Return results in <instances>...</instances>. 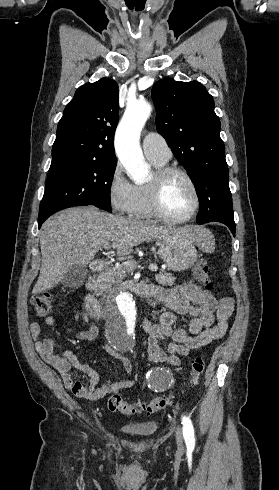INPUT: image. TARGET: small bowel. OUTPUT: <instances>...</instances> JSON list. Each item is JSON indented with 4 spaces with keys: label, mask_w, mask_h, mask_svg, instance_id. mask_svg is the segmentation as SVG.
<instances>
[{
    "label": "small bowel",
    "mask_w": 279,
    "mask_h": 490,
    "mask_svg": "<svg viewBox=\"0 0 279 490\" xmlns=\"http://www.w3.org/2000/svg\"><path fill=\"white\" fill-rule=\"evenodd\" d=\"M142 292L167 308V311L158 316L157 323H152L147 319L142 321V328L148 338L147 355L152 362L177 366L181 362V357L187 356L192 350L208 345L213 340L222 338L227 331V320L233 310V302L229 298L218 300L193 282H186L170 289L145 285L142 286ZM215 314L217 316L216 324H214ZM178 315L191 317L188 330L182 327H174ZM43 322L45 325L51 326L55 323V318L47 315ZM30 331L35 348L41 358L59 372L65 387L75 396L90 401H98L108 394L118 393L136 384L133 379H123L108 382L97 388L99 383L97 372L88 365L80 363L71 350H65L61 355L54 354V340L44 335L41 323L32 322ZM70 332L82 341H94L99 335V329L96 325L79 331L70 330ZM167 337H171L172 342L168 345L167 351H164L160 347L159 341ZM100 349L108 350L105 346H101ZM110 353L121 362L124 373L129 375L132 371L130 360L114 351H110ZM71 366L89 378L87 387L74 379L70 373Z\"/></svg>",
    "instance_id": "c3829d8e"
}]
</instances>
